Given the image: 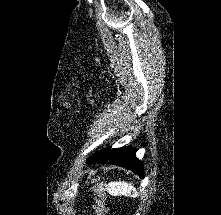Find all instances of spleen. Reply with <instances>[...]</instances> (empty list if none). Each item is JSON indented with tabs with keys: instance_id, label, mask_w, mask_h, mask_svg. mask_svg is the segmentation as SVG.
Masks as SVG:
<instances>
[{
	"instance_id": "spleen-1",
	"label": "spleen",
	"mask_w": 221,
	"mask_h": 215,
	"mask_svg": "<svg viewBox=\"0 0 221 215\" xmlns=\"http://www.w3.org/2000/svg\"><path fill=\"white\" fill-rule=\"evenodd\" d=\"M107 191L113 196H138L136 188L127 182H110L107 186Z\"/></svg>"
}]
</instances>
